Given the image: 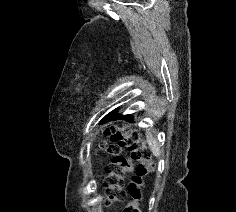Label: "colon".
<instances>
[{"mask_svg": "<svg viewBox=\"0 0 236 212\" xmlns=\"http://www.w3.org/2000/svg\"><path fill=\"white\" fill-rule=\"evenodd\" d=\"M112 142L100 145V149L111 157L105 178V204L111 206L128 197L130 201L121 212H140L138 205L142 199L145 177L154 169L151 152L135 133L114 132ZM122 148L126 149V154L120 152ZM131 171L133 175L124 189V178Z\"/></svg>", "mask_w": 236, "mask_h": 212, "instance_id": "5ec220e1", "label": "colon"}]
</instances>
